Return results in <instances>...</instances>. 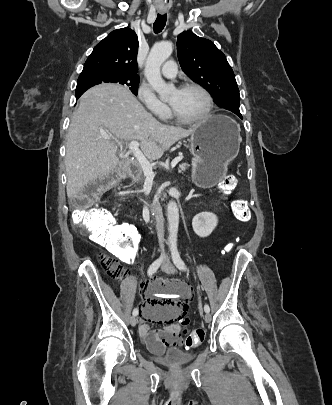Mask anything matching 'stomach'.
Instances as JSON below:
<instances>
[{
  "label": "stomach",
  "mask_w": 332,
  "mask_h": 405,
  "mask_svg": "<svg viewBox=\"0 0 332 405\" xmlns=\"http://www.w3.org/2000/svg\"><path fill=\"white\" fill-rule=\"evenodd\" d=\"M241 140L237 123L227 116L211 115L198 123L189 139L194 181L206 187L217 184L238 155Z\"/></svg>",
  "instance_id": "obj_1"
}]
</instances>
